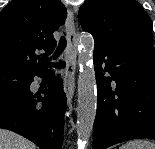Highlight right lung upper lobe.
Listing matches in <instances>:
<instances>
[{"label":"right lung upper lobe","mask_w":155,"mask_h":149,"mask_svg":"<svg viewBox=\"0 0 155 149\" xmlns=\"http://www.w3.org/2000/svg\"><path fill=\"white\" fill-rule=\"evenodd\" d=\"M66 14L60 0H12L0 12V68L30 76L47 70L56 46L53 32Z\"/></svg>","instance_id":"cb5924a9"}]
</instances>
